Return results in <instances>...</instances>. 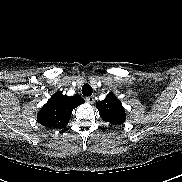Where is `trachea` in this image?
<instances>
[{"label":"trachea","mask_w":182,"mask_h":182,"mask_svg":"<svg viewBox=\"0 0 182 182\" xmlns=\"http://www.w3.org/2000/svg\"><path fill=\"white\" fill-rule=\"evenodd\" d=\"M92 92H93V90H92V87H91L90 84L86 83V84L83 85V87H82V94L84 96H91Z\"/></svg>","instance_id":"1"}]
</instances>
